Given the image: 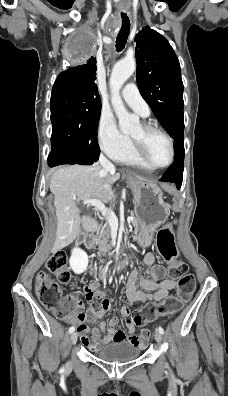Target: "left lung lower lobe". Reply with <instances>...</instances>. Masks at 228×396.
<instances>
[{"label": "left lung lower lobe", "mask_w": 228, "mask_h": 396, "mask_svg": "<svg viewBox=\"0 0 228 396\" xmlns=\"http://www.w3.org/2000/svg\"><path fill=\"white\" fill-rule=\"evenodd\" d=\"M175 158L173 164L168 168L161 178V181L174 182L179 189L183 179L184 163V133H178L174 137Z\"/></svg>", "instance_id": "left-lung-lower-lobe-1"}]
</instances>
